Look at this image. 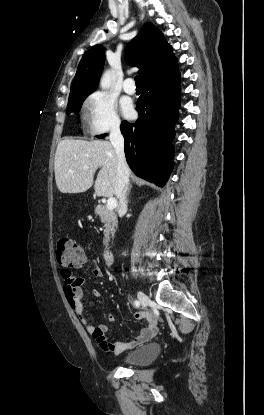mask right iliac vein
I'll use <instances>...</instances> for the list:
<instances>
[{
    "label": "right iliac vein",
    "instance_id": "63e3f726",
    "mask_svg": "<svg viewBox=\"0 0 264 415\" xmlns=\"http://www.w3.org/2000/svg\"><path fill=\"white\" fill-rule=\"evenodd\" d=\"M138 299L144 308H146L151 302L150 298L142 291L138 292Z\"/></svg>",
    "mask_w": 264,
    "mask_h": 415
}]
</instances>
